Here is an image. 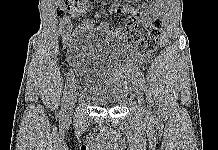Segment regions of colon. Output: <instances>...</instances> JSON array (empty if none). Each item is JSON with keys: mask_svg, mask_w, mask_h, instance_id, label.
Here are the masks:
<instances>
[{"mask_svg": "<svg viewBox=\"0 0 218 150\" xmlns=\"http://www.w3.org/2000/svg\"><path fill=\"white\" fill-rule=\"evenodd\" d=\"M78 1L79 0H58V15L64 16L72 12ZM162 26V21L156 19L145 35H141L138 29H129L126 31L123 39L139 56L145 58L157 48L162 34Z\"/></svg>", "mask_w": 218, "mask_h": 150, "instance_id": "5ec220e1", "label": "colon"}]
</instances>
